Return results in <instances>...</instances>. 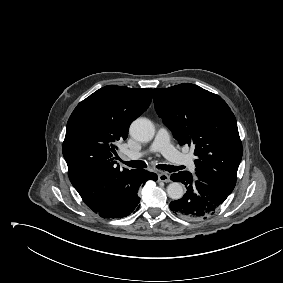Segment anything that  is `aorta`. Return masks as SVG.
Returning a JSON list of instances; mask_svg holds the SVG:
<instances>
[{"label":"aorta","mask_w":283,"mask_h":283,"mask_svg":"<svg viewBox=\"0 0 283 283\" xmlns=\"http://www.w3.org/2000/svg\"><path fill=\"white\" fill-rule=\"evenodd\" d=\"M131 136L140 142H148L155 135L153 123L147 118H137L130 126ZM168 196L173 200L181 199L184 195V189L178 182H172L167 186Z\"/></svg>","instance_id":"1"}]
</instances>
